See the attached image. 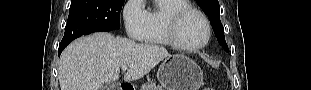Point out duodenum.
<instances>
[{
  "label": "duodenum",
  "mask_w": 311,
  "mask_h": 90,
  "mask_svg": "<svg viewBox=\"0 0 311 90\" xmlns=\"http://www.w3.org/2000/svg\"><path fill=\"white\" fill-rule=\"evenodd\" d=\"M119 90H133L132 87L128 84H122L120 87H119Z\"/></svg>",
  "instance_id": "410a0bca"
}]
</instances>
